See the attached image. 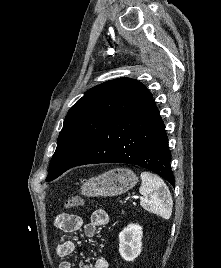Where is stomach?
<instances>
[{
	"label": "stomach",
	"mask_w": 221,
	"mask_h": 268,
	"mask_svg": "<svg viewBox=\"0 0 221 268\" xmlns=\"http://www.w3.org/2000/svg\"><path fill=\"white\" fill-rule=\"evenodd\" d=\"M137 181L138 177L132 170L116 168L88 179L81 186V192L88 197L115 196L128 191Z\"/></svg>",
	"instance_id": "1"
}]
</instances>
